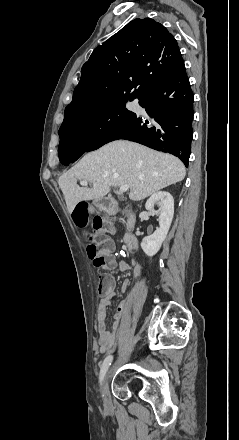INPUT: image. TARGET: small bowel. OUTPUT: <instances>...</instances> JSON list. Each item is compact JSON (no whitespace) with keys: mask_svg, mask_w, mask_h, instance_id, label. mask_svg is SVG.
Masks as SVG:
<instances>
[{"mask_svg":"<svg viewBox=\"0 0 239 440\" xmlns=\"http://www.w3.org/2000/svg\"><path fill=\"white\" fill-rule=\"evenodd\" d=\"M132 267L135 268V276L139 277L142 272V267L132 260L131 262L120 261L118 268L120 271L125 272L130 270ZM130 281L125 280L122 285L123 290H127L129 288ZM115 297L114 292V281L110 278V284L108 290L103 293V296L98 305V345L101 353L111 352L117 343L118 331L122 319V314L125 310V304L120 303L117 306L116 313L114 315V322L112 325V329H107L106 320H107V307L111 304L112 299Z\"/></svg>","mask_w":239,"mask_h":440,"instance_id":"obj_1","label":"small bowel"}]
</instances>
